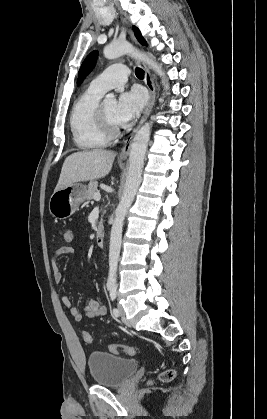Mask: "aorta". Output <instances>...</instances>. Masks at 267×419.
<instances>
[{
    "instance_id": "1",
    "label": "aorta",
    "mask_w": 267,
    "mask_h": 419,
    "mask_svg": "<svg viewBox=\"0 0 267 419\" xmlns=\"http://www.w3.org/2000/svg\"><path fill=\"white\" fill-rule=\"evenodd\" d=\"M103 53L107 59H114L124 54L134 55L135 57L139 58L144 63H146L153 71H155L162 78L164 88H169L162 67L147 55L142 53H135L132 46L129 43L115 42L105 47ZM104 102L116 103L115 96L113 94L106 95ZM150 133L151 125L149 123H145L135 134L131 144L129 154V167L125 187L121 200L116 208L115 218L111 228L109 246V276L107 280L108 287L116 286L117 266L122 243L123 223L125 220V216L132 202L134 201L135 195L141 183L144 157L150 138Z\"/></svg>"
}]
</instances>
